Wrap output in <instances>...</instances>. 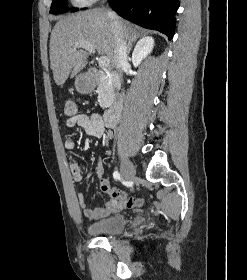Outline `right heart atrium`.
I'll use <instances>...</instances> for the list:
<instances>
[{
	"instance_id": "obj_1",
	"label": "right heart atrium",
	"mask_w": 247,
	"mask_h": 280,
	"mask_svg": "<svg viewBox=\"0 0 247 280\" xmlns=\"http://www.w3.org/2000/svg\"><path fill=\"white\" fill-rule=\"evenodd\" d=\"M79 6H87L95 2L96 0H73Z\"/></svg>"
}]
</instances>
